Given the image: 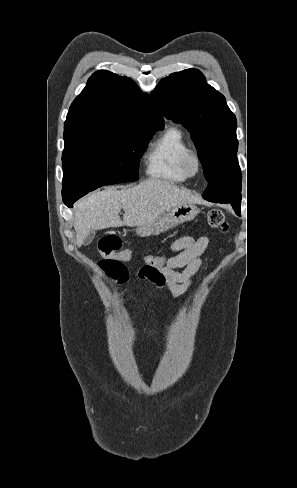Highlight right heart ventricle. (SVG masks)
Wrapping results in <instances>:
<instances>
[{
    "mask_svg": "<svg viewBox=\"0 0 297 488\" xmlns=\"http://www.w3.org/2000/svg\"><path fill=\"white\" fill-rule=\"evenodd\" d=\"M191 149L177 126H168L150 144L144 156L145 172L154 179L182 183L188 177L182 169V158Z\"/></svg>",
    "mask_w": 297,
    "mask_h": 488,
    "instance_id": "right-heart-ventricle-1",
    "label": "right heart ventricle"
}]
</instances>
